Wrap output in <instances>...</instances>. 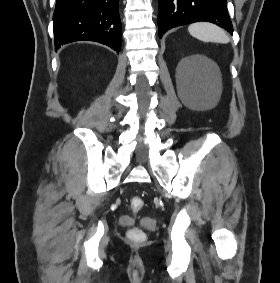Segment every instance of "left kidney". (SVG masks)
<instances>
[{
    "label": "left kidney",
    "instance_id": "obj_1",
    "mask_svg": "<svg viewBox=\"0 0 280 283\" xmlns=\"http://www.w3.org/2000/svg\"><path fill=\"white\" fill-rule=\"evenodd\" d=\"M196 59H205V58L202 57V56H196V57H192V58H190V59H187V61H194V60H196Z\"/></svg>",
    "mask_w": 280,
    "mask_h": 283
}]
</instances>
